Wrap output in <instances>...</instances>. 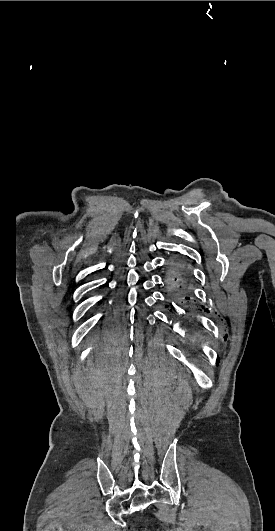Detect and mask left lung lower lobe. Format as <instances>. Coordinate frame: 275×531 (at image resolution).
<instances>
[{
    "mask_svg": "<svg viewBox=\"0 0 275 531\" xmlns=\"http://www.w3.org/2000/svg\"><path fill=\"white\" fill-rule=\"evenodd\" d=\"M165 285L170 301L166 307H170V311L176 307L187 311L197 305V297L193 292L192 273L188 263L181 257L176 256L170 260Z\"/></svg>",
    "mask_w": 275,
    "mask_h": 531,
    "instance_id": "0a47b994",
    "label": "left lung lower lobe"
}]
</instances>
